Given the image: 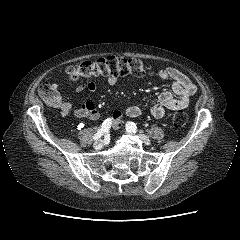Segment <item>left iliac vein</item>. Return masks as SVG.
<instances>
[{
	"instance_id": "1",
	"label": "left iliac vein",
	"mask_w": 240,
	"mask_h": 240,
	"mask_svg": "<svg viewBox=\"0 0 240 240\" xmlns=\"http://www.w3.org/2000/svg\"><path fill=\"white\" fill-rule=\"evenodd\" d=\"M138 137L145 145H151L150 140L145 135L139 134Z\"/></svg>"
}]
</instances>
